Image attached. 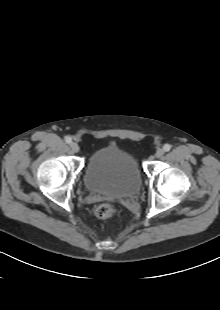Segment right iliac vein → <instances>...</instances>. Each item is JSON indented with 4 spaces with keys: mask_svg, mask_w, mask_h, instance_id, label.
Listing matches in <instances>:
<instances>
[{
    "mask_svg": "<svg viewBox=\"0 0 220 310\" xmlns=\"http://www.w3.org/2000/svg\"><path fill=\"white\" fill-rule=\"evenodd\" d=\"M70 147H71V149H72V151L74 152V153H77V152H79V145L76 143V142H72L71 144H70Z\"/></svg>",
    "mask_w": 220,
    "mask_h": 310,
    "instance_id": "1",
    "label": "right iliac vein"
}]
</instances>
